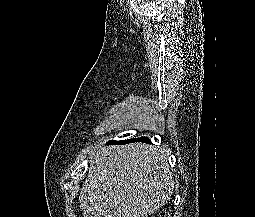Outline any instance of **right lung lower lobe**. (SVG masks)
<instances>
[{
	"mask_svg": "<svg viewBox=\"0 0 255 217\" xmlns=\"http://www.w3.org/2000/svg\"><path fill=\"white\" fill-rule=\"evenodd\" d=\"M130 142H143V143H151L150 139L147 137H141V138H134L129 140H121V141H109L107 144H126Z\"/></svg>",
	"mask_w": 255,
	"mask_h": 217,
	"instance_id": "right-lung-lower-lobe-1",
	"label": "right lung lower lobe"
}]
</instances>
